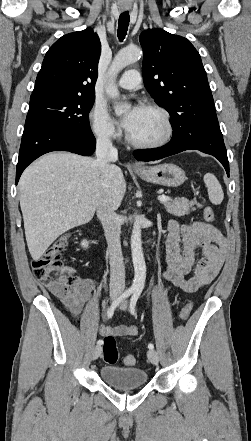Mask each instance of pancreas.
I'll use <instances>...</instances> for the list:
<instances>
[{"mask_svg": "<svg viewBox=\"0 0 251 441\" xmlns=\"http://www.w3.org/2000/svg\"><path fill=\"white\" fill-rule=\"evenodd\" d=\"M166 211L174 216H184L194 211V205L201 207L196 201H189L185 198H176L163 203Z\"/></svg>", "mask_w": 251, "mask_h": 441, "instance_id": "obj_1", "label": "pancreas"}]
</instances>
